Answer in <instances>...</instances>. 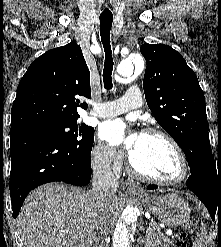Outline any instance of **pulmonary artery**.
I'll return each instance as SVG.
<instances>
[{"label":"pulmonary artery","instance_id":"obj_1","mask_svg":"<svg viewBox=\"0 0 221 247\" xmlns=\"http://www.w3.org/2000/svg\"><path fill=\"white\" fill-rule=\"evenodd\" d=\"M142 105V96L140 89L136 86L129 87L124 96L103 103L99 107L91 110L89 115L106 118L112 117L132 109H136Z\"/></svg>","mask_w":221,"mask_h":247}]
</instances>
